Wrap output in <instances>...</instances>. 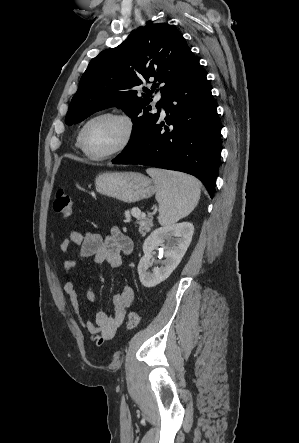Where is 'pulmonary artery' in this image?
Listing matches in <instances>:
<instances>
[{"label": "pulmonary artery", "instance_id": "obj_1", "mask_svg": "<svg viewBox=\"0 0 299 443\" xmlns=\"http://www.w3.org/2000/svg\"><path fill=\"white\" fill-rule=\"evenodd\" d=\"M155 100H156V101H163V98H162V96H161L160 94H157L156 97H155ZM161 113H162L163 115L165 114V109H164L163 106H161Z\"/></svg>", "mask_w": 299, "mask_h": 443}]
</instances>
